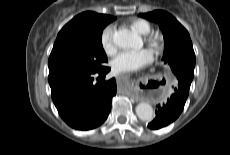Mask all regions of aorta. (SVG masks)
<instances>
[{"instance_id":"aorta-1","label":"aorta","mask_w":230,"mask_h":155,"mask_svg":"<svg viewBox=\"0 0 230 155\" xmlns=\"http://www.w3.org/2000/svg\"><path fill=\"white\" fill-rule=\"evenodd\" d=\"M113 42L117 47L123 49L132 48L135 45L141 46L142 44V41L138 35L125 28L115 31L113 35ZM135 110L138 118L142 121L150 122L154 118V110L147 102H140L136 106Z\"/></svg>"}]
</instances>
